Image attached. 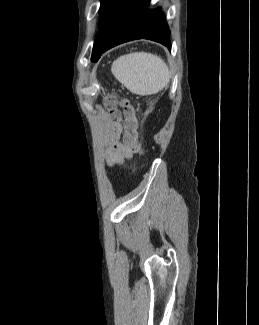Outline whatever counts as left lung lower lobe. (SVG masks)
<instances>
[{"instance_id":"obj_1","label":"left lung lower lobe","mask_w":259,"mask_h":325,"mask_svg":"<svg viewBox=\"0 0 259 325\" xmlns=\"http://www.w3.org/2000/svg\"><path fill=\"white\" fill-rule=\"evenodd\" d=\"M150 0H124L104 31L101 54L136 39H149L171 49L170 32L161 8L147 9Z\"/></svg>"}]
</instances>
